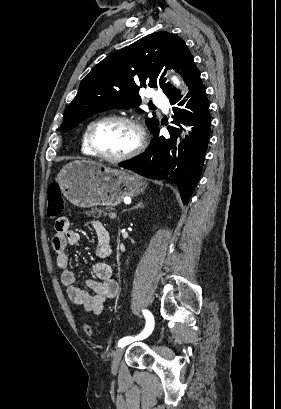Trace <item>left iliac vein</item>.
Wrapping results in <instances>:
<instances>
[{
    "instance_id": "4c4485c4",
    "label": "left iliac vein",
    "mask_w": 281,
    "mask_h": 409,
    "mask_svg": "<svg viewBox=\"0 0 281 409\" xmlns=\"http://www.w3.org/2000/svg\"><path fill=\"white\" fill-rule=\"evenodd\" d=\"M124 350H125L124 347H119L113 354L112 371L114 373H116L119 368V364L123 356Z\"/></svg>"
}]
</instances>
